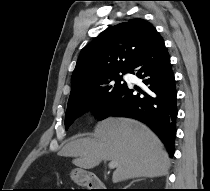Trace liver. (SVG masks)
<instances>
[{
  "label": "liver",
  "instance_id": "liver-1",
  "mask_svg": "<svg viewBox=\"0 0 210 191\" xmlns=\"http://www.w3.org/2000/svg\"><path fill=\"white\" fill-rule=\"evenodd\" d=\"M61 156L74 157L75 166L92 169L103 160L116 161L114 183L167 173L170 161L159 138L144 124L128 118H107L95 128L94 138L66 144Z\"/></svg>",
  "mask_w": 210,
  "mask_h": 191
}]
</instances>
